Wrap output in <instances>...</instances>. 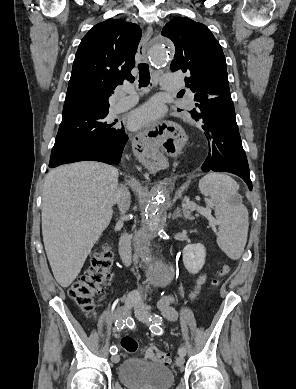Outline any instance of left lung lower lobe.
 Instances as JSON below:
<instances>
[{"label":"left lung lower lobe","mask_w":296,"mask_h":389,"mask_svg":"<svg viewBox=\"0 0 296 389\" xmlns=\"http://www.w3.org/2000/svg\"><path fill=\"white\" fill-rule=\"evenodd\" d=\"M202 128L207 140V157L202 170L230 172L241 177L249 189L252 182L242 147L231 94H224L202 113Z\"/></svg>","instance_id":"1"}]
</instances>
